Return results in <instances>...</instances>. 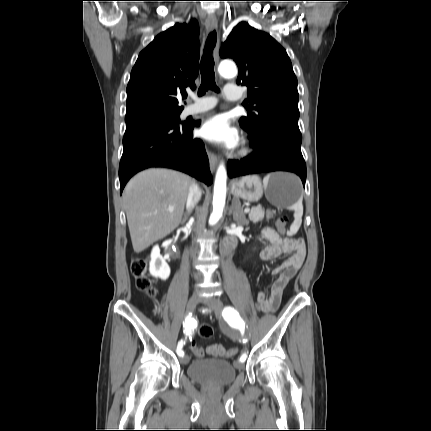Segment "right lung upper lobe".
Masks as SVG:
<instances>
[{
	"instance_id": "cb5924a9",
	"label": "right lung upper lobe",
	"mask_w": 431,
	"mask_h": 431,
	"mask_svg": "<svg viewBox=\"0 0 431 431\" xmlns=\"http://www.w3.org/2000/svg\"><path fill=\"white\" fill-rule=\"evenodd\" d=\"M200 42L196 21L175 24L140 52L127 86L125 121L182 111L179 96L195 88Z\"/></svg>"
}]
</instances>
